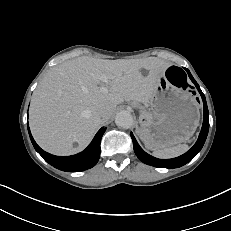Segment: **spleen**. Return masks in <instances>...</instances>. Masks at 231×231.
Returning <instances> with one entry per match:
<instances>
[{
  "label": "spleen",
  "mask_w": 231,
  "mask_h": 231,
  "mask_svg": "<svg viewBox=\"0 0 231 231\" xmlns=\"http://www.w3.org/2000/svg\"><path fill=\"white\" fill-rule=\"evenodd\" d=\"M188 149L189 146L187 144H179L172 147L154 150L153 155L161 159L174 158L185 153Z\"/></svg>",
  "instance_id": "1"
}]
</instances>
